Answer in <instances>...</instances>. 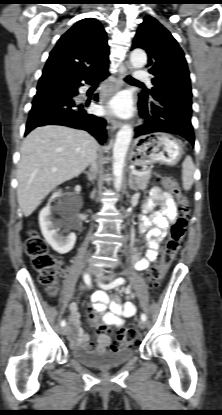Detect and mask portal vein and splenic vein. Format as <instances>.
I'll return each instance as SVG.
<instances>
[{
    "label": "portal vein and splenic vein",
    "mask_w": 222,
    "mask_h": 415,
    "mask_svg": "<svg viewBox=\"0 0 222 415\" xmlns=\"http://www.w3.org/2000/svg\"><path fill=\"white\" fill-rule=\"evenodd\" d=\"M143 173H146V172H139V171H136V170H132V174H134V175H140V174H143Z\"/></svg>",
    "instance_id": "obj_1"
}]
</instances>
